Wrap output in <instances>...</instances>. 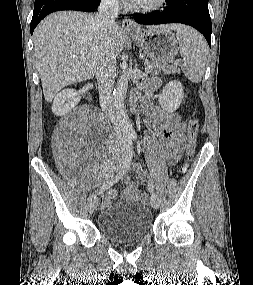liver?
Segmentation results:
<instances>
[{
  "label": "liver",
  "mask_w": 253,
  "mask_h": 285,
  "mask_svg": "<svg viewBox=\"0 0 253 285\" xmlns=\"http://www.w3.org/2000/svg\"><path fill=\"white\" fill-rule=\"evenodd\" d=\"M94 17L90 13L60 11L48 15L36 27L33 38L36 68L47 102L63 87L95 75L102 39ZM163 27L177 30L181 25ZM110 41L117 56L124 42L123 29L118 24L111 29Z\"/></svg>",
  "instance_id": "obj_1"
}]
</instances>
